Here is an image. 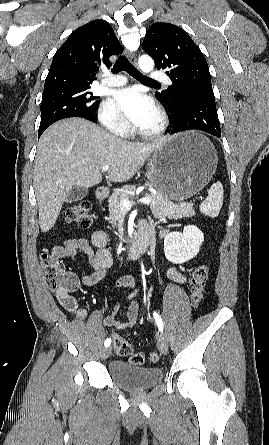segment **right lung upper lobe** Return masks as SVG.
Segmentation results:
<instances>
[{
  "label": "right lung upper lobe",
  "mask_w": 269,
  "mask_h": 445,
  "mask_svg": "<svg viewBox=\"0 0 269 445\" xmlns=\"http://www.w3.org/2000/svg\"><path fill=\"white\" fill-rule=\"evenodd\" d=\"M122 51L123 48L107 21L97 19L79 27L55 53L44 91L91 86L96 79L99 65L111 66L109 57Z\"/></svg>",
  "instance_id": "cb5924a9"
}]
</instances>
